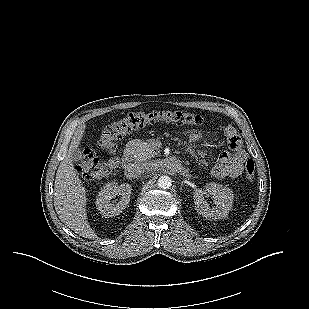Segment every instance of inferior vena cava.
<instances>
[{"instance_id": "1", "label": "inferior vena cava", "mask_w": 309, "mask_h": 309, "mask_svg": "<svg viewBox=\"0 0 309 309\" xmlns=\"http://www.w3.org/2000/svg\"><path fill=\"white\" fill-rule=\"evenodd\" d=\"M147 169V166L141 163L133 164L125 170V176L129 179L137 178L142 175Z\"/></svg>"}]
</instances>
